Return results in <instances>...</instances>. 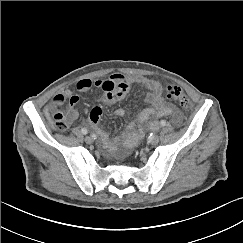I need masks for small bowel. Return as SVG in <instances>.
<instances>
[{"instance_id": "obj_1", "label": "small bowel", "mask_w": 243, "mask_h": 243, "mask_svg": "<svg viewBox=\"0 0 243 243\" xmlns=\"http://www.w3.org/2000/svg\"><path fill=\"white\" fill-rule=\"evenodd\" d=\"M133 84L141 85L147 89L145 102L148 104V107L140 111L136 117V121L139 125L137 130L132 131L135 121H130L124 127L121 135L114 141H110L107 134L100 127L102 115L101 108L99 106H94L89 112V123L99 136L103 147L110 151H114L122 141L129 145L138 143L143 138L146 130H157L158 125L155 121H151V118L164 116H172L176 120L180 118V112L175 107L165 102L162 96V87L160 83L144 76L126 77L122 74L115 73L103 80L92 81L91 79H81L76 83V89L80 92L89 91L93 87L101 89L103 91L102 102L111 105L121 101ZM79 101L80 98L77 94L72 93L70 90H66L63 93L55 95L46 111L50 113L55 107H62L65 102H68L69 109L66 116L70 125L78 117L75 106ZM115 115L117 117H123L125 115V110L119 108L115 111Z\"/></svg>"}]
</instances>
